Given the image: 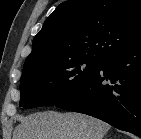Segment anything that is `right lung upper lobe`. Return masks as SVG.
<instances>
[{"instance_id":"right-lung-upper-lobe-1","label":"right lung upper lobe","mask_w":141,"mask_h":139,"mask_svg":"<svg viewBox=\"0 0 141 139\" xmlns=\"http://www.w3.org/2000/svg\"><path fill=\"white\" fill-rule=\"evenodd\" d=\"M141 42V0H69L35 36L23 70L77 57L104 59Z\"/></svg>"}]
</instances>
